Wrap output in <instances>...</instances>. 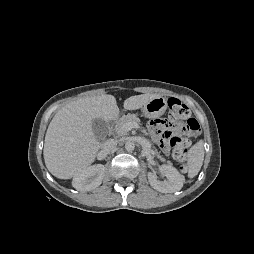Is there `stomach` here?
Segmentation results:
<instances>
[{
    "mask_svg": "<svg viewBox=\"0 0 254 254\" xmlns=\"http://www.w3.org/2000/svg\"><path fill=\"white\" fill-rule=\"evenodd\" d=\"M167 109V100L164 97H155L142 107L143 114L148 118H158Z\"/></svg>",
    "mask_w": 254,
    "mask_h": 254,
    "instance_id": "stomach-1",
    "label": "stomach"
}]
</instances>
